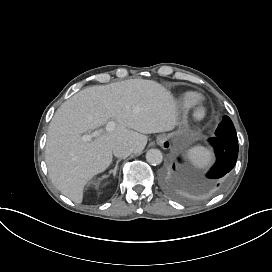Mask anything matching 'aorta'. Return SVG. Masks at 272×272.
I'll return each mask as SVG.
<instances>
[{
    "mask_svg": "<svg viewBox=\"0 0 272 272\" xmlns=\"http://www.w3.org/2000/svg\"><path fill=\"white\" fill-rule=\"evenodd\" d=\"M163 156L160 150L150 149L146 153V160L152 165H158L162 162Z\"/></svg>",
    "mask_w": 272,
    "mask_h": 272,
    "instance_id": "obj_1",
    "label": "aorta"
}]
</instances>
